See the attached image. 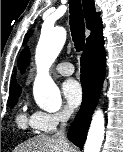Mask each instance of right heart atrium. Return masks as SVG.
Segmentation results:
<instances>
[{
  "mask_svg": "<svg viewBox=\"0 0 123 152\" xmlns=\"http://www.w3.org/2000/svg\"><path fill=\"white\" fill-rule=\"evenodd\" d=\"M71 112L64 108L56 112L36 111L33 113L32 121L36 130L40 132H52L61 123L69 119Z\"/></svg>",
  "mask_w": 123,
  "mask_h": 152,
  "instance_id": "1",
  "label": "right heart atrium"
}]
</instances>
